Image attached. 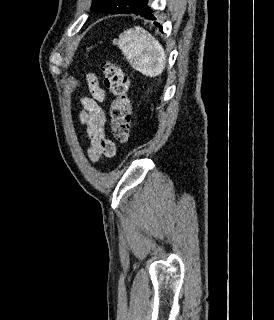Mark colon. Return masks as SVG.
<instances>
[{
    "mask_svg": "<svg viewBox=\"0 0 274 320\" xmlns=\"http://www.w3.org/2000/svg\"><path fill=\"white\" fill-rule=\"evenodd\" d=\"M105 84L114 96L111 104V131L120 142L129 140L132 131V107L128 96L129 79L124 69L112 62L104 64Z\"/></svg>",
    "mask_w": 274,
    "mask_h": 320,
    "instance_id": "5ec220e1",
    "label": "colon"
}]
</instances>
